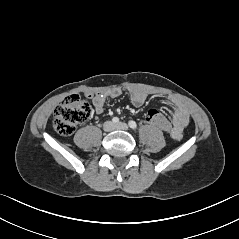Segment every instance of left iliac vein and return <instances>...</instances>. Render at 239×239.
<instances>
[{"mask_svg": "<svg viewBox=\"0 0 239 239\" xmlns=\"http://www.w3.org/2000/svg\"><path fill=\"white\" fill-rule=\"evenodd\" d=\"M115 129H120V130H128V125L126 123H117L115 126H114Z\"/></svg>", "mask_w": 239, "mask_h": 239, "instance_id": "obj_1", "label": "left iliac vein"}]
</instances>
